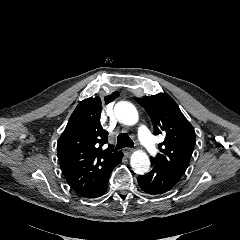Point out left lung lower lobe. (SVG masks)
Segmentation results:
<instances>
[{
  "label": "left lung lower lobe",
  "mask_w": 240,
  "mask_h": 240,
  "mask_svg": "<svg viewBox=\"0 0 240 240\" xmlns=\"http://www.w3.org/2000/svg\"><path fill=\"white\" fill-rule=\"evenodd\" d=\"M152 163V170L137 178L141 189L150 195H159L172 190L180 181L174 174L159 164Z\"/></svg>",
  "instance_id": "1"
}]
</instances>
